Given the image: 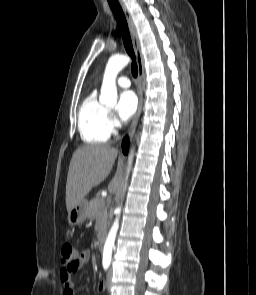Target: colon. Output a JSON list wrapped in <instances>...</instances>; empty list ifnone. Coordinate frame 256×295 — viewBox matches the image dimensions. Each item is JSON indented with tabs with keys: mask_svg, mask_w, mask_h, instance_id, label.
<instances>
[{
	"mask_svg": "<svg viewBox=\"0 0 256 295\" xmlns=\"http://www.w3.org/2000/svg\"><path fill=\"white\" fill-rule=\"evenodd\" d=\"M79 263V255L74 246L70 243H64L61 246L60 264L63 268L74 270Z\"/></svg>",
	"mask_w": 256,
	"mask_h": 295,
	"instance_id": "1",
	"label": "colon"
}]
</instances>
